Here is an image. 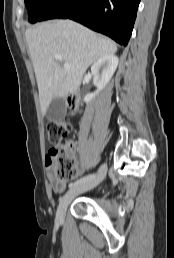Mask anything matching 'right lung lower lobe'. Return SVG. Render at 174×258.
<instances>
[{"label":"right lung lower lobe","instance_id":"1","mask_svg":"<svg viewBox=\"0 0 174 258\" xmlns=\"http://www.w3.org/2000/svg\"><path fill=\"white\" fill-rule=\"evenodd\" d=\"M140 0H53L41 21L69 18L126 46Z\"/></svg>","mask_w":174,"mask_h":258}]
</instances>
